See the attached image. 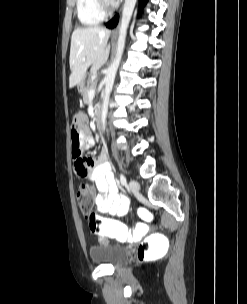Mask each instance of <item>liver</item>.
Listing matches in <instances>:
<instances>
[{
    "instance_id": "obj_1",
    "label": "liver",
    "mask_w": 247,
    "mask_h": 304,
    "mask_svg": "<svg viewBox=\"0 0 247 304\" xmlns=\"http://www.w3.org/2000/svg\"><path fill=\"white\" fill-rule=\"evenodd\" d=\"M110 31L99 26L77 28L71 37L69 87L80 84L91 66L90 72L96 73L107 61V45ZM85 59V60H83Z\"/></svg>"
}]
</instances>
